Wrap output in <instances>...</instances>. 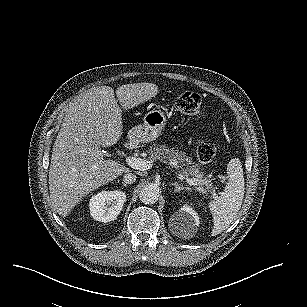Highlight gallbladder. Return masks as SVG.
<instances>
[{
    "instance_id": "1",
    "label": "gallbladder",
    "mask_w": 307,
    "mask_h": 307,
    "mask_svg": "<svg viewBox=\"0 0 307 307\" xmlns=\"http://www.w3.org/2000/svg\"><path fill=\"white\" fill-rule=\"evenodd\" d=\"M103 155L108 156V153L106 151L103 152Z\"/></svg>"
}]
</instances>
